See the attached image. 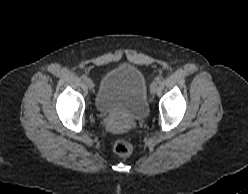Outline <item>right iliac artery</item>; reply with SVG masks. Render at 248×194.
Instances as JSON below:
<instances>
[{
  "label": "right iliac artery",
  "instance_id": "right-iliac-artery-1",
  "mask_svg": "<svg viewBox=\"0 0 248 194\" xmlns=\"http://www.w3.org/2000/svg\"><path fill=\"white\" fill-rule=\"evenodd\" d=\"M87 79H88L87 76L85 75L82 76V80L86 81Z\"/></svg>",
  "mask_w": 248,
  "mask_h": 194
}]
</instances>
